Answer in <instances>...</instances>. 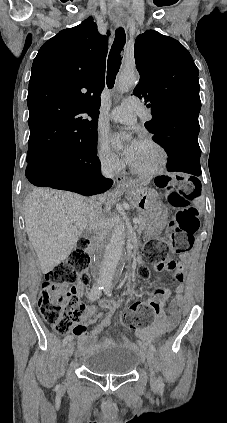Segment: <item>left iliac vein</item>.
<instances>
[{
  "label": "left iliac vein",
  "instance_id": "obj_1",
  "mask_svg": "<svg viewBox=\"0 0 227 423\" xmlns=\"http://www.w3.org/2000/svg\"><path fill=\"white\" fill-rule=\"evenodd\" d=\"M147 359H148V367L150 372V383L153 390H157L158 388V381L155 375V357L151 350L147 351Z\"/></svg>",
  "mask_w": 227,
  "mask_h": 423
}]
</instances>
